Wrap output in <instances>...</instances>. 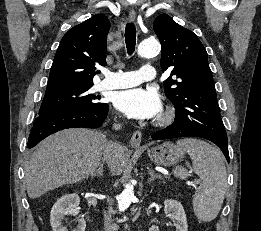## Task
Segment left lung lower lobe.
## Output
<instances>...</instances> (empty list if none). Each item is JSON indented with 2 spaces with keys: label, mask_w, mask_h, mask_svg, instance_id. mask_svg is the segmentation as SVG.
<instances>
[{
  "label": "left lung lower lobe",
  "mask_w": 261,
  "mask_h": 231,
  "mask_svg": "<svg viewBox=\"0 0 261 231\" xmlns=\"http://www.w3.org/2000/svg\"><path fill=\"white\" fill-rule=\"evenodd\" d=\"M177 137H200V138L208 139L220 147L227 161L229 162L230 158H229L227 140L222 138L217 139V138H212L210 136H207L206 134L200 132L198 129L192 127L191 125L187 124L184 121H175L169 127L161 131L155 132L152 135L153 140H164V139H171Z\"/></svg>",
  "instance_id": "1"
}]
</instances>
